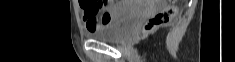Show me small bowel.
I'll use <instances>...</instances> for the list:
<instances>
[{"instance_id":"1","label":"small bowel","mask_w":235,"mask_h":62,"mask_svg":"<svg viewBox=\"0 0 235 62\" xmlns=\"http://www.w3.org/2000/svg\"><path fill=\"white\" fill-rule=\"evenodd\" d=\"M91 1H81L80 6L84 10V21L86 24V28L88 31L94 30L99 28L101 25L107 23L110 21L112 15L106 14L105 16H102L100 19L97 17V14H90L89 13V4ZM125 5V2L114 4L112 1L107 2L108 9L111 12H116L120 8H122Z\"/></svg>"}]
</instances>
